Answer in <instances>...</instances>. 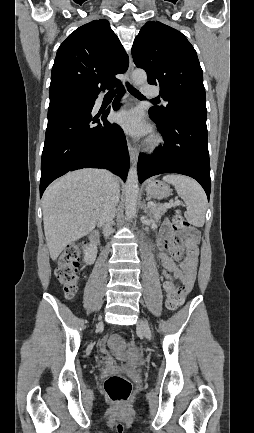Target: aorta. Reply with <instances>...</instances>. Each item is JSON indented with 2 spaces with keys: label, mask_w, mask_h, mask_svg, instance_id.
Instances as JSON below:
<instances>
[{
  "label": "aorta",
  "mask_w": 254,
  "mask_h": 433,
  "mask_svg": "<svg viewBox=\"0 0 254 433\" xmlns=\"http://www.w3.org/2000/svg\"><path fill=\"white\" fill-rule=\"evenodd\" d=\"M132 80L135 85H142L147 81V74L144 70H135L132 73ZM138 194V172L137 168L133 166L129 169L125 185V214L128 219H132L136 215Z\"/></svg>",
  "instance_id": "1"
}]
</instances>
